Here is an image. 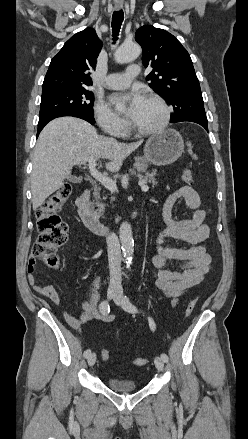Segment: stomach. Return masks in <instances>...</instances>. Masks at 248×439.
<instances>
[{"instance_id": "obj_1", "label": "stomach", "mask_w": 248, "mask_h": 439, "mask_svg": "<svg viewBox=\"0 0 248 439\" xmlns=\"http://www.w3.org/2000/svg\"><path fill=\"white\" fill-rule=\"evenodd\" d=\"M183 151L184 141L180 133L167 129L148 139L144 147V161L158 166L169 165L179 159Z\"/></svg>"}]
</instances>
